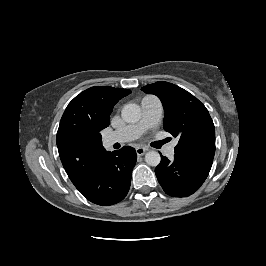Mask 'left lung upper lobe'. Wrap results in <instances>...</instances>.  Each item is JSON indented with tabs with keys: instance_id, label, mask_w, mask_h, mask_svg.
<instances>
[{
	"instance_id": "1",
	"label": "left lung upper lobe",
	"mask_w": 266,
	"mask_h": 266,
	"mask_svg": "<svg viewBox=\"0 0 266 266\" xmlns=\"http://www.w3.org/2000/svg\"><path fill=\"white\" fill-rule=\"evenodd\" d=\"M142 90L160 98L165 110L163 127L179 137L175 154L214 157V124L206 107L196 97L164 81L146 85Z\"/></svg>"
}]
</instances>
